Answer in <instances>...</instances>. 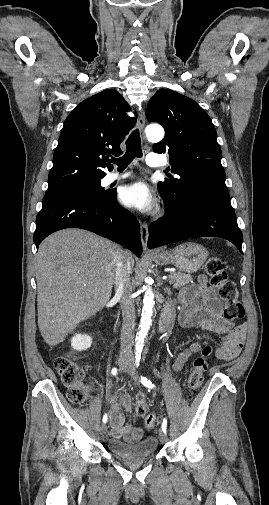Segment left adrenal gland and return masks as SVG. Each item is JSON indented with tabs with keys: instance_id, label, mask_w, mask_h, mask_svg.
I'll list each match as a JSON object with an SVG mask.
<instances>
[{
	"instance_id": "1",
	"label": "left adrenal gland",
	"mask_w": 269,
	"mask_h": 505,
	"mask_svg": "<svg viewBox=\"0 0 269 505\" xmlns=\"http://www.w3.org/2000/svg\"><path fill=\"white\" fill-rule=\"evenodd\" d=\"M164 291H165L167 294H169V295L171 294V291H170V289H169V288H164Z\"/></svg>"
}]
</instances>
